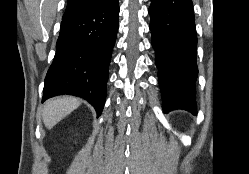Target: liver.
Returning <instances> with one entry per match:
<instances>
[{"mask_svg":"<svg viewBox=\"0 0 249 174\" xmlns=\"http://www.w3.org/2000/svg\"><path fill=\"white\" fill-rule=\"evenodd\" d=\"M80 105V99L60 96L45 103L42 117L46 128L51 129Z\"/></svg>","mask_w":249,"mask_h":174,"instance_id":"1","label":"liver"}]
</instances>
